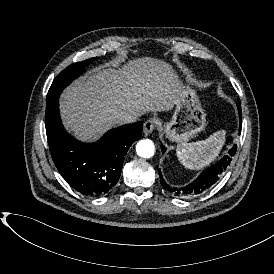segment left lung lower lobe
Segmentation results:
<instances>
[{
	"instance_id": "1",
	"label": "left lung lower lobe",
	"mask_w": 274,
	"mask_h": 274,
	"mask_svg": "<svg viewBox=\"0 0 274 274\" xmlns=\"http://www.w3.org/2000/svg\"><path fill=\"white\" fill-rule=\"evenodd\" d=\"M237 106L239 110V116H240V127H239V133H241V103L240 99L237 101ZM162 153L166 151V148L161 145ZM237 151V145H234L228 152L229 155L224 156L219 162L212 165L211 167L204 170L200 176L195 179L192 183L189 185L182 187V188H176V187H169L161 174V171L159 170V176H160V183L164 189H167L174 193L177 196H197L200 194H203L207 192L221 177V175L226 171L228 165H230L231 157L235 155Z\"/></svg>"
}]
</instances>
